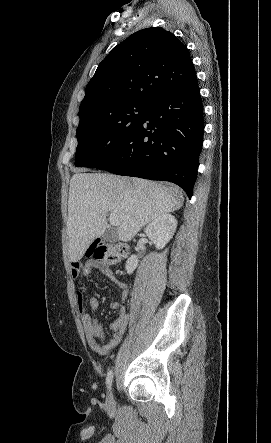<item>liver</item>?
<instances>
[{
	"label": "liver",
	"instance_id": "6515ba94",
	"mask_svg": "<svg viewBox=\"0 0 271 443\" xmlns=\"http://www.w3.org/2000/svg\"><path fill=\"white\" fill-rule=\"evenodd\" d=\"M179 188L113 174H74L68 198V251L79 261L96 237L106 231L107 216L116 214L118 239L130 241L143 225L183 206Z\"/></svg>",
	"mask_w": 271,
	"mask_h": 443
}]
</instances>
